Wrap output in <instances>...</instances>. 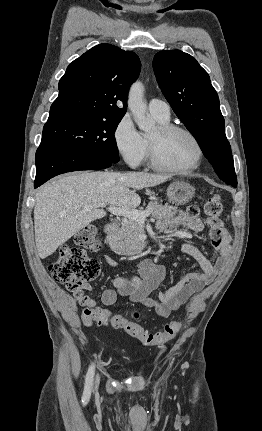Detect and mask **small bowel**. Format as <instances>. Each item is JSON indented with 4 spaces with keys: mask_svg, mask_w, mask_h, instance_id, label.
Masks as SVG:
<instances>
[{
    "mask_svg": "<svg viewBox=\"0 0 262 431\" xmlns=\"http://www.w3.org/2000/svg\"><path fill=\"white\" fill-rule=\"evenodd\" d=\"M173 226H184L190 231L198 232L204 226L210 228V237L218 257L216 263L211 262L195 245L185 243L182 251L194 258L200 265V272H189L164 292H159L155 299L151 294L158 289L164 279L165 269L161 264L151 259H145L138 264L139 278L117 277L113 280L114 289H107L102 294L103 307L113 306L119 298H127L132 303H139L155 310L157 315L166 318L183 308L187 300L194 294L203 290L217 276L218 271L226 263L230 253L231 237L219 218H206L202 221L197 214H186L179 211L173 213L171 220ZM163 232L172 228L167 222L159 224ZM105 263L114 266L115 261L110 257L104 259ZM90 286L77 290L73 298L83 307V316L113 317L105 308L96 305L95 299L86 291Z\"/></svg>",
    "mask_w": 262,
    "mask_h": 431,
    "instance_id": "obj_1",
    "label": "small bowel"
}]
</instances>
